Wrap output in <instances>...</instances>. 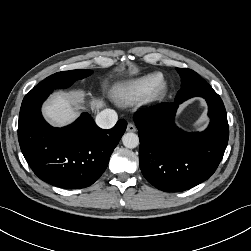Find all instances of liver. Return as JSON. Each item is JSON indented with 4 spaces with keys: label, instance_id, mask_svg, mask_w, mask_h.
I'll return each instance as SVG.
<instances>
[{
    "label": "liver",
    "instance_id": "6515ba94",
    "mask_svg": "<svg viewBox=\"0 0 251 251\" xmlns=\"http://www.w3.org/2000/svg\"><path fill=\"white\" fill-rule=\"evenodd\" d=\"M82 97L79 93L65 95L61 93L55 94L43 106V114L56 126H64L75 120L78 116V110L81 107ZM92 108H101L104 106L102 100L93 99L91 101Z\"/></svg>",
    "mask_w": 251,
    "mask_h": 251
}]
</instances>
